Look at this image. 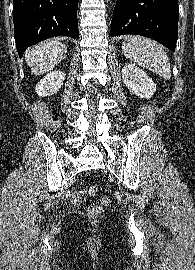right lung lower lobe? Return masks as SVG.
Returning <instances> with one entry per match:
<instances>
[{"mask_svg": "<svg viewBox=\"0 0 195 270\" xmlns=\"http://www.w3.org/2000/svg\"><path fill=\"white\" fill-rule=\"evenodd\" d=\"M78 0H13L14 38L19 56L53 36L78 39Z\"/></svg>", "mask_w": 195, "mask_h": 270, "instance_id": "1", "label": "right lung lower lobe"}]
</instances>
